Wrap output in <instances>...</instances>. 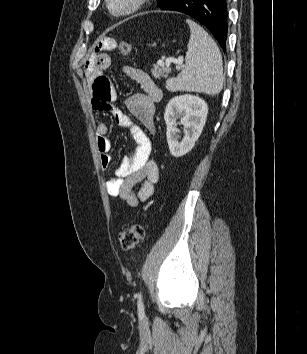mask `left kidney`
Returning <instances> with one entry per match:
<instances>
[{
  "label": "left kidney",
  "instance_id": "left-kidney-1",
  "mask_svg": "<svg viewBox=\"0 0 307 354\" xmlns=\"http://www.w3.org/2000/svg\"><path fill=\"white\" fill-rule=\"evenodd\" d=\"M208 105L200 97L190 94L173 97L166 106L164 120L167 125V142L170 153L181 157L188 153L198 140L206 122ZM180 119V122L177 119ZM184 126L180 141L177 125Z\"/></svg>",
  "mask_w": 307,
  "mask_h": 354
}]
</instances>
